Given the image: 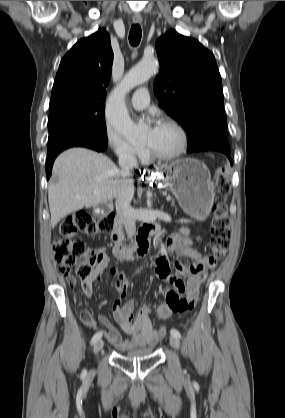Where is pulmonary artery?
I'll return each mask as SVG.
<instances>
[{"label":"pulmonary artery","instance_id":"obj_1","mask_svg":"<svg viewBox=\"0 0 285 418\" xmlns=\"http://www.w3.org/2000/svg\"><path fill=\"white\" fill-rule=\"evenodd\" d=\"M148 91L146 89H140L136 91L131 98V105L135 109H143L148 105Z\"/></svg>","mask_w":285,"mask_h":418}]
</instances>
